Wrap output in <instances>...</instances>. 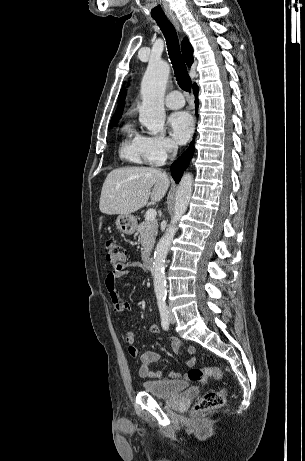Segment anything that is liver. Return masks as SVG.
<instances>
[{
    "label": "liver",
    "mask_w": 305,
    "mask_h": 461,
    "mask_svg": "<svg viewBox=\"0 0 305 461\" xmlns=\"http://www.w3.org/2000/svg\"><path fill=\"white\" fill-rule=\"evenodd\" d=\"M169 185L167 174L156 168L114 169L104 181L99 209L108 215H130L144 207L149 198L153 202H159Z\"/></svg>",
    "instance_id": "liver-1"
}]
</instances>
